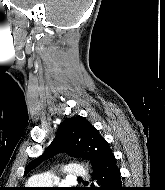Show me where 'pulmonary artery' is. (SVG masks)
Segmentation results:
<instances>
[{
  "instance_id": "1",
  "label": "pulmonary artery",
  "mask_w": 165,
  "mask_h": 190,
  "mask_svg": "<svg viewBox=\"0 0 165 190\" xmlns=\"http://www.w3.org/2000/svg\"><path fill=\"white\" fill-rule=\"evenodd\" d=\"M64 173L67 178H83L87 175L86 169L80 164L66 165ZM52 180L53 176L49 173H45L35 176L32 181L38 185H50Z\"/></svg>"
}]
</instances>
